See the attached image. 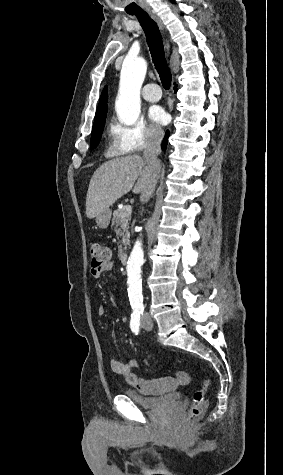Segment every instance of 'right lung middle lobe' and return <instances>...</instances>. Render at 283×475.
Returning <instances> with one entry per match:
<instances>
[{"instance_id": "dd1d6c3e", "label": "right lung middle lobe", "mask_w": 283, "mask_h": 475, "mask_svg": "<svg viewBox=\"0 0 283 475\" xmlns=\"http://www.w3.org/2000/svg\"><path fill=\"white\" fill-rule=\"evenodd\" d=\"M107 108H108L107 105H102L97 108L95 119H94V125L92 128V134H91V144H90L91 149L96 148L100 142V138H101L105 120H106Z\"/></svg>"}]
</instances>
